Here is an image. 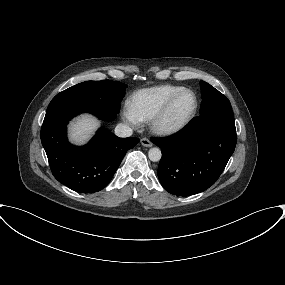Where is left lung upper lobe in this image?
<instances>
[{"mask_svg":"<svg viewBox=\"0 0 285 285\" xmlns=\"http://www.w3.org/2000/svg\"><path fill=\"white\" fill-rule=\"evenodd\" d=\"M202 103L200 114H207L213 111H225L233 113L231 104L226 96L220 93L207 82H200Z\"/></svg>","mask_w":285,"mask_h":285,"instance_id":"5c2ea615","label":"left lung upper lobe"}]
</instances>
